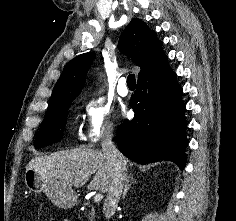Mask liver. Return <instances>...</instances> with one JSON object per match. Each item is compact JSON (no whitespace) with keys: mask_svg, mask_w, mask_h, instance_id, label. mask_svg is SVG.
Instances as JSON below:
<instances>
[{"mask_svg":"<svg viewBox=\"0 0 236 221\" xmlns=\"http://www.w3.org/2000/svg\"><path fill=\"white\" fill-rule=\"evenodd\" d=\"M27 169L54 178L69 187H82L91 174L95 176L88 184L89 190L108 192L111 181V167L101 150L74 148L61 150L50 155L31 159Z\"/></svg>","mask_w":236,"mask_h":221,"instance_id":"6515ba94","label":"liver"}]
</instances>
